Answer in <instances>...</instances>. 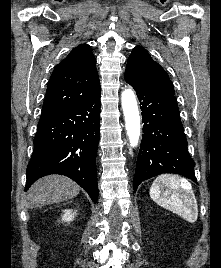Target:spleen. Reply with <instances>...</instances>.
<instances>
[{
    "label": "spleen",
    "mask_w": 221,
    "mask_h": 268,
    "mask_svg": "<svg viewBox=\"0 0 221 268\" xmlns=\"http://www.w3.org/2000/svg\"><path fill=\"white\" fill-rule=\"evenodd\" d=\"M149 194L158 205L186 221L192 223L197 220V201L188 180L178 175H160L153 182Z\"/></svg>",
    "instance_id": "3e777b00"
}]
</instances>
